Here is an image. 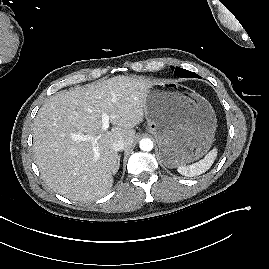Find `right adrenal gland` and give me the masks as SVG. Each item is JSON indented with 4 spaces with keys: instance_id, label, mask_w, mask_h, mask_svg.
<instances>
[{
    "instance_id": "obj_1",
    "label": "right adrenal gland",
    "mask_w": 269,
    "mask_h": 269,
    "mask_svg": "<svg viewBox=\"0 0 269 269\" xmlns=\"http://www.w3.org/2000/svg\"><path fill=\"white\" fill-rule=\"evenodd\" d=\"M120 167V155H119V159H118V163H117V167H116V172L119 170Z\"/></svg>"
}]
</instances>
